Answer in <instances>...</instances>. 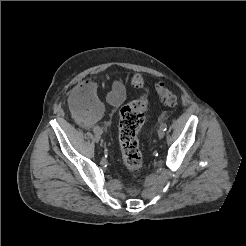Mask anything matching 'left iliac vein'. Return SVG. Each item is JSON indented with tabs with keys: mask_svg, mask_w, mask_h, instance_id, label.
<instances>
[{
	"mask_svg": "<svg viewBox=\"0 0 246 246\" xmlns=\"http://www.w3.org/2000/svg\"><path fill=\"white\" fill-rule=\"evenodd\" d=\"M164 135H165L164 130L160 128V129L158 130V137H159L160 139H162V138L164 137Z\"/></svg>",
	"mask_w": 246,
	"mask_h": 246,
	"instance_id": "left-iliac-vein-1",
	"label": "left iliac vein"
}]
</instances>
